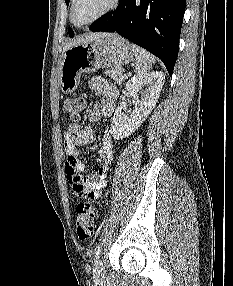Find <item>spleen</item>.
I'll list each match as a JSON object with an SVG mask.
<instances>
[{"instance_id":"3e777b00","label":"spleen","mask_w":233,"mask_h":286,"mask_svg":"<svg viewBox=\"0 0 233 286\" xmlns=\"http://www.w3.org/2000/svg\"><path fill=\"white\" fill-rule=\"evenodd\" d=\"M131 47L136 56V73L138 75L147 73L151 69L152 64L155 63V57L145 49L135 44H131Z\"/></svg>"}]
</instances>
